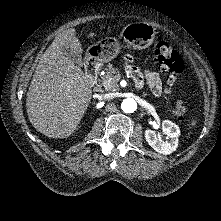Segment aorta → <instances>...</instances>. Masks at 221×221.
Listing matches in <instances>:
<instances>
[{
    "label": "aorta",
    "instance_id": "aorta-1",
    "mask_svg": "<svg viewBox=\"0 0 221 221\" xmlns=\"http://www.w3.org/2000/svg\"><path fill=\"white\" fill-rule=\"evenodd\" d=\"M121 109L125 113H133L137 109V103L133 98H126L121 103Z\"/></svg>",
    "mask_w": 221,
    "mask_h": 221
}]
</instances>
